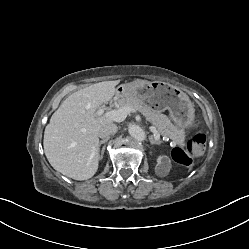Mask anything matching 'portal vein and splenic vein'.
Here are the masks:
<instances>
[{"mask_svg":"<svg viewBox=\"0 0 249 249\" xmlns=\"http://www.w3.org/2000/svg\"><path fill=\"white\" fill-rule=\"evenodd\" d=\"M136 110L130 106H123L120 107L119 109H115V110H111L108 111L104 114V110L103 109H99L97 111L98 115H105L106 117L110 118L113 121L116 122H122L125 120V118L127 117V115L129 113H135ZM150 131L154 133V137L156 139H160V134L158 133L157 129L154 126H150L149 127Z\"/></svg>","mask_w":249,"mask_h":249,"instance_id":"obj_1","label":"portal vein and splenic vein"}]
</instances>
